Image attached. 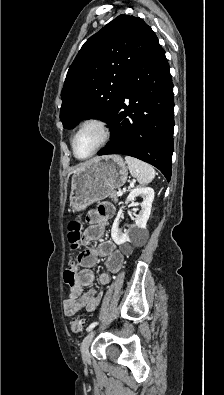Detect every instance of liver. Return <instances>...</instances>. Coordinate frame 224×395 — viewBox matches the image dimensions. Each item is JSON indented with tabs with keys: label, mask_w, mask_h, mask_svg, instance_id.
Returning <instances> with one entry per match:
<instances>
[{
	"label": "liver",
	"mask_w": 224,
	"mask_h": 395,
	"mask_svg": "<svg viewBox=\"0 0 224 395\" xmlns=\"http://www.w3.org/2000/svg\"><path fill=\"white\" fill-rule=\"evenodd\" d=\"M93 160V159H92ZM92 160H90V161H88V162H86V163H84V164H82L78 169H80V168H82V167H84L85 165H87L88 163H90ZM78 169H76V170H78ZM75 170V171H76Z\"/></svg>",
	"instance_id": "obj_1"
}]
</instances>
